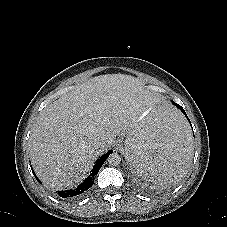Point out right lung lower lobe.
<instances>
[{"instance_id":"1","label":"right lung lower lobe","mask_w":227,"mask_h":227,"mask_svg":"<svg viewBox=\"0 0 227 227\" xmlns=\"http://www.w3.org/2000/svg\"><path fill=\"white\" fill-rule=\"evenodd\" d=\"M113 152V150L108 151L106 154L102 155L94 165L92 169V173L75 189H69L67 191H58V195L66 200L77 199L83 196L89 188H91L94 184L95 175H97L99 169L107 159V157ZM34 174V172H33ZM35 176V174H34ZM36 177V176H35ZM37 181L38 178L36 177Z\"/></svg>"}]
</instances>
